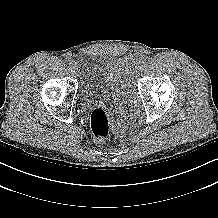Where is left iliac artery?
I'll return each mask as SVG.
<instances>
[{
  "label": "left iliac artery",
  "instance_id": "obj_1",
  "mask_svg": "<svg viewBox=\"0 0 218 218\" xmlns=\"http://www.w3.org/2000/svg\"><path fill=\"white\" fill-rule=\"evenodd\" d=\"M146 61H147V56L144 55L140 58V63L145 64Z\"/></svg>",
  "mask_w": 218,
  "mask_h": 218
}]
</instances>
